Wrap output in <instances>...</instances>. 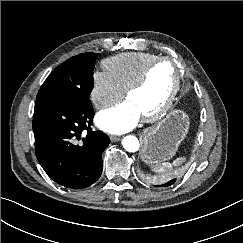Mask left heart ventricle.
<instances>
[{
    "label": "left heart ventricle",
    "mask_w": 243,
    "mask_h": 243,
    "mask_svg": "<svg viewBox=\"0 0 243 243\" xmlns=\"http://www.w3.org/2000/svg\"><path fill=\"white\" fill-rule=\"evenodd\" d=\"M175 78V68L171 62L163 61L156 64L145 84L133 91L127 99L141 113L147 114L158 108L168 96Z\"/></svg>",
    "instance_id": "obj_1"
}]
</instances>
